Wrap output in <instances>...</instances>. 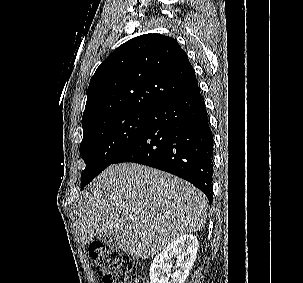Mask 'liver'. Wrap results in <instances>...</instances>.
Here are the masks:
<instances>
[{
    "label": "liver",
    "mask_w": 303,
    "mask_h": 283,
    "mask_svg": "<svg viewBox=\"0 0 303 283\" xmlns=\"http://www.w3.org/2000/svg\"><path fill=\"white\" fill-rule=\"evenodd\" d=\"M76 228L82 244L115 234L119 248L153 257L182 234L202 229L205 195L189 182L135 163L109 166L80 193Z\"/></svg>",
    "instance_id": "6515ba94"
}]
</instances>
